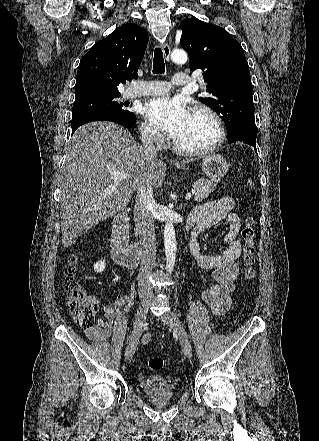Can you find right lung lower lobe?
Returning <instances> with one entry per match:
<instances>
[{"label": "right lung lower lobe", "instance_id": "right-lung-lower-lobe-1", "mask_svg": "<svg viewBox=\"0 0 319 441\" xmlns=\"http://www.w3.org/2000/svg\"><path fill=\"white\" fill-rule=\"evenodd\" d=\"M93 121H112L115 122L117 124L122 125L125 128H132L136 122L133 124L127 123L126 121L120 119L119 117L115 116V115H111V114H93V115H88V116H84L81 118L76 119L75 121H72L71 123V128H72V134L75 132V130L86 123L89 122H93Z\"/></svg>", "mask_w": 319, "mask_h": 441}]
</instances>
